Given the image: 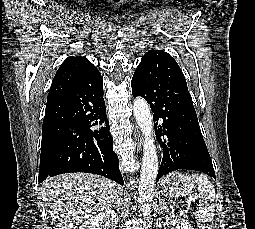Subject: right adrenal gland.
<instances>
[{
  "label": "right adrenal gland",
  "instance_id": "2a0ac1e0",
  "mask_svg": "<svg viewBox=\"0 0 255 229\" xmlns=\"http://www.w3.org/2000/svg\"><path fill=\"white\" fill-rule=\"evenodd\" d=\"M120 206H121V201L116 198L115 199V203L111 206V209H117V211L120 209Z\"/></svg>",
  "mask_w": 255,
  "mask_h": 229
}]
</instances>
